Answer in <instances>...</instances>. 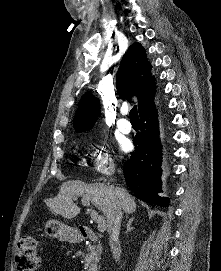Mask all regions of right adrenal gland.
Here are the masks:
<instances>
[{
  "mask_svg": "<svg viewBox=\"0 0 221 271\" xmlns=\"http://www.w3.org/2000/svg\"><path fill=\"white\" fill-rule=\"evenodd\" d=\"M133 219H135V217H130V219H128L126 223V231H131V229H133L132 227Z\"/></svg>",
  "mask_w": 221,
  "mask_h": 271,
  "instance_id": "right-adrenal-gland-1",
  "label": "right adrenal gland"
}]
</instances>
